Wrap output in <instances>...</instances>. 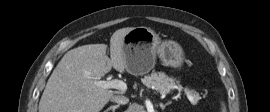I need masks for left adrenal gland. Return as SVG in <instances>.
Listing matches in <instances>:
<instances>
[{"label":"left adrenal gland","mask_w":270,"mask_h":112,"mask_svg":"<svg viewBox=\"0 0 270 112\" xmlns=\"http://www.w3.org/2000/svg\"><path fill=\"white\" fill-rule=\"evenodd\" d=\"M169 104H171V101L167 102L166 104L160 103V107L162 110H164L166 108V106H168Z\"/></svg>","instance_id":"1"}]
</instances>
